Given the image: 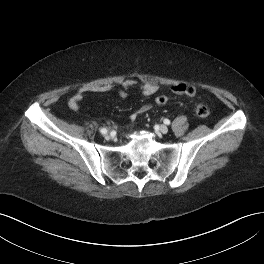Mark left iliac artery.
<instances>
[{"label":"left iliac artery","instance_id":"obj_1","mask_svg":"<svg viewBox=\"0 0 264 264\" xmlns=\"http://www.w3.org/2000/svg\"><path fill=\"white\" fill-rule=\"evenodd\" d=\"M164 123H165L166 125H169V124H170V120H169V119H164Z\"/></svg>","mask_w":264,"mask_h":264}]
</instances>
